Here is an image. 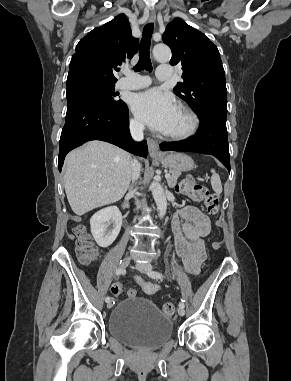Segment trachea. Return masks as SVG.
I'll use <instances>...</instances> for the list:
<instances>
[{
	"mask_svg": "<svg viewBox=\"0 0 291 381\" xmlns=\"http://www.w3.org/2000/svg\"><path fill=\"white\" fill-rule=\"evenodd\" d=\"M153 28H154L153 24L149 23L145 25L143 29L142 39L140 43V50H139V61L134 67L135 71H141V70H146L149 72L152 71L149 50H150Z\"/></svg>",
	"mask_w": 291,
	"mask_h": 381,
	"instance_id": "1",
	"label": "trachea"
}]
</instances>
